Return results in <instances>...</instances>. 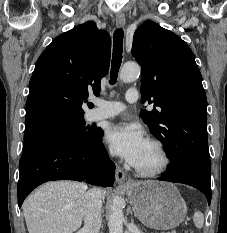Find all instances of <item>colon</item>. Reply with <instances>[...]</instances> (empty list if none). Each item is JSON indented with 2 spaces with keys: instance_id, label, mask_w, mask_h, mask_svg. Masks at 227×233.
Segmentation results:
<instances>
[{
  "instance_id": "1",
  "label": "colon",
  "mask_w": 227,
  "mask_h": 233,
  "mask_svg": "<svg viewBox=\"0 0 227 233\" xmlns=\"http://www.w3.org/2000/svg\"><path fill=\"white\" fill-rule=\"evenodd\" d=\"M181 233H194L192 229H185Z\"/></svg>"
}]
</instances>
